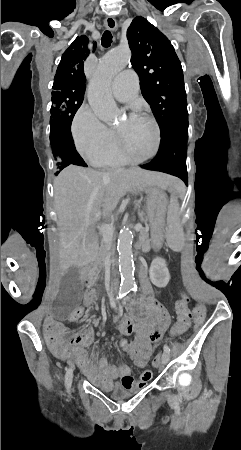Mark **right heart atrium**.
I'll list each match as a JSON object with an SVG mask.
<instances>
[{
    "label": "right heart atrium",
    "mask_w": 241,
    "mask_h": 450,
    "mask_svg": "<svg viewBox=\"0 0 241 450\" xmlns=\"http://www.w3.org/2000/svg\"><path fill=\"white\" fill-rule=\"evenodd\" d=\"M106 130V126L98 120L93 110H90V106L81 105L72 120V137L79 155L89 159L111 151L110 138L114 135V131H107V140L104 135Z\"/></svg>",
    "instance_id": "right-heart-atrium-1"
}]
</instances>
